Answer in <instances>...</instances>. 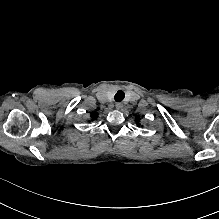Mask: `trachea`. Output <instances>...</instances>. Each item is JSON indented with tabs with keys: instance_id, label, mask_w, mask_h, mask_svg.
Here are the masks:
<instances>
[{
	"instance_id": "obj_1",
	"label": "trachea",
	"mask_w": 219,
	"mask_h": 219,
	"mask_svg": "<svg viewBox=\"0 0 219 219\" xmlns=\"http://www.w3.org/2000/svg\"><path fill=\"white\" fill-rule=\"evenodd\" d=\"M124 97H125L124 92L121 91V90H119V91L116 93L114 99H115L116 102H121V101L124 99Z\"/></svg>"
}]
</instances>
